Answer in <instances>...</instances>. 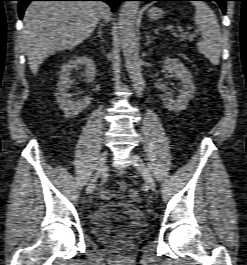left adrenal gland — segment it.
<instances>
[{
  "mask_svg": "<svg viewBox=\"0 0 247 265\" xmlns=\"http://www.w3.org/2000/svg\"><path fill=\"white\" fill-rule=\"evenodd\" d=\"M155 37H150L149 32H146V46H148Z\"/></svg>",
  "mask_w": 247,
  "mask_h": 265,
  "instance_id": "a2214340",
  "label": "left adrenal gland"
}]
</instances>
